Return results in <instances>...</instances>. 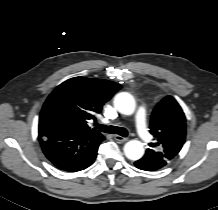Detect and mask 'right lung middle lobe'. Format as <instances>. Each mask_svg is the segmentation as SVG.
<instances>
[{
  "label": "right lung middle lobe",
  "mask_w": 218,
  "mask_h": 210,
  "mask_svg": "<svg viewBox=\"0 0 218 210\" xmlns=\"http://www.w3.org/2000/svg\"><path fill=\"white\" fill-rule=\"evenodd\" d=\"M39 128L66 130V117L60 109L44 105L39 118Z\"/></svg>",
  "instance_id": "obj_1"
}]
</instances>
